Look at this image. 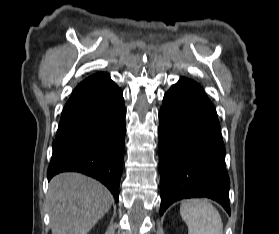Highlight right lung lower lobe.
I'll return each instance as SVG.
<instances>
[{
    "label": "right lung lower lobe",
    "instance_id": "1",
    "mask_svg": "<svg viewBox=\"0 0 279 234\" xmlns=\"http://www.w3.org/2000/svg\"><path fill=\"white\" fill-rule=\"evenodd\" d=\"M126 108L108 73H96L73 90L64 106L47 176L76 171L101 181L118 201Z\"/></svg>",
    "mask_w": 279,
    "mask_h": 234
}]
</instances>
